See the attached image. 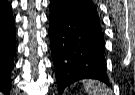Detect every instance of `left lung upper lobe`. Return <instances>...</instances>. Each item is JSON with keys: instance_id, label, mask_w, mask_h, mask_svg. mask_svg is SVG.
Instances as JSON below:
<instances>
[{"instance_id": "1", "label": "left lung upper lobe", "mask_w": 135, "mask_h": 95, "mask_svg": "<svg viewBox=\"0 0 135 95\" xmlns=\"http://www.w3.org/2000/svg\"><path fill=\"white\" fill-rule=\"evenodd\" d=\"M51 3L61 10L99 23L98 13L92 0H51Z\"/></svg>"}]
</instances>
